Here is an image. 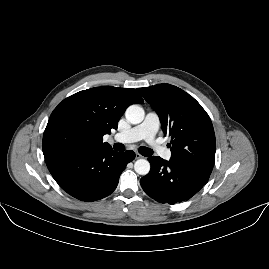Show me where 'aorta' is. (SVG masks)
<instances>
[{
	"instance_id": "aorta-1",
	"label": "aorta",
	"mask_w": 269,
	"mask_h": 269,
	"mask_svg": "<svg viewBox=\"0 0 269 269\" xmlns=\"http://www.w3.org/2000/svg\"><path fill=\"white\" fill-rule=\"evenodd\" d=\"M126 119L132 124H139L144 120V109L139 105H131L125 112ZM134 170L139 175H146L150 171V163L146 159H138L134 164Z\"/></svg>"
}]
</instances>
